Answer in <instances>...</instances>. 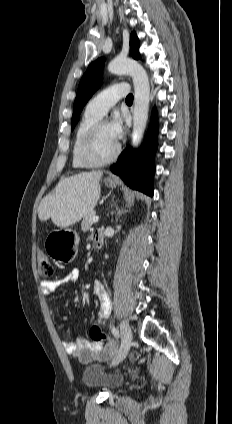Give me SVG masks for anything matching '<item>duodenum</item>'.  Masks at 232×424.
Listing matches in <instances>:
<instances>
[{"label": "duodenum", "mask_w": 232, "mask_h": 424, "mask_svg": "<svg viewBox=\"0 0 232 424\" xmlns=\"http://www.w3.org/2000/svg\"><path fill=\"white\" fill-rule=\"evenodd\" d=\"M101 234L97 235L94 239L96 248H100L103 245L104 242V234L102 231H99Z\"/></svg>", "instance_id": "obj_1"}]
</instances>
